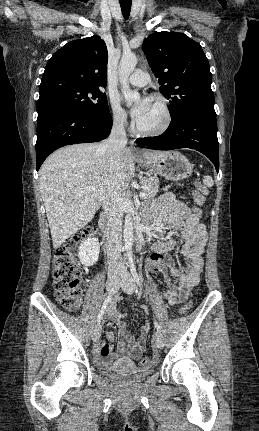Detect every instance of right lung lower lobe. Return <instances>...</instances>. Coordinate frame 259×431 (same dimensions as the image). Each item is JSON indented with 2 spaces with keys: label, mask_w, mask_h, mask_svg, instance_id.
<instances>
[{
  "label": "right lung lower lobe",
  "mask_w": 259,
  "mask_h": 431,
  "mask_svg": "<svg viewBox=\"0 0 259 431\" xmlns=\"http://www.w3.org/2000/svg\"><path fill=\"white\" fill-rule=\"evenodd\" d=\"M111 114H94L70 107L54 108L38 115L36 169L56 149L69 144L98 142L110 134Z\"/></svg>",
  "instance_id": "98d812e1"
}]
</instances>
